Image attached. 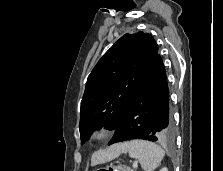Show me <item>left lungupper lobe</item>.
Returning a JSON list of instances; mask_svg holds the SVG:
<instances>
[{"mask_svg": "<svg viewBox=\"0 0 223 171\" xmlns=\"http://www.w3.org/2000/svg\"><path fill=\"white\" fill-rule=\"evenodd\" d=\"M158 55L148 33L125 34L103 55L86 82L80 110L81 143L103 126L117 127Z\"/></svg>", "mask_w": 223, "mask_h": 171, "instance_id": "5c2ea615", "label": "left lung upper lobe"}]
</instances>
